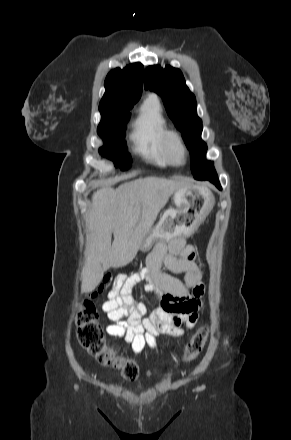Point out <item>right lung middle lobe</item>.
I'll return each mask as SVG.
<instances>
[{
    "label": "right lung middle lobe",
    "mask_w": 291,
    "mask_h": 440,
    "mask_svg": "<svg viewBox=\"0 0 291 440\" xmlns=\"http://www.w3.org/2000/svg\"><path fill=\"white\" fill-rule=\"evenodd\" d=\"M130 109L118 107L99 109L102 119L97 132L104 141V146L99 149V153L114 161V165L121 170L130 168L131 157L124 141Z\"/></svg>",
    "instance_id": "right-lung-middle-lobe-1"
}]
</instances>
